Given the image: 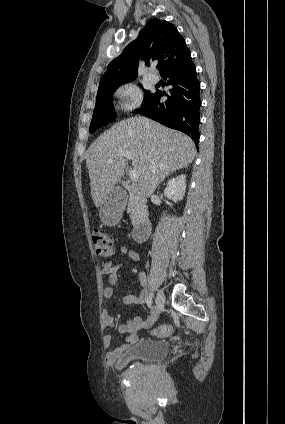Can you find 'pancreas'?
Masks as SVG:
<instances>
[{"mask_svg":"<svg viewBox=\"0 0 285 424\" xmlns=\"http://www.w3.org/2000/svg\"><path fill=\"white\" fill-rule=\"evenodd\" d=\"M128 212L133 225L139 222V219L146 212L144 199L139 194H131L128 202Z\"/></svg>","mask_w":285,"mask_h":424,"instance_id":"1","label":"pancreas"}]
</instances>
